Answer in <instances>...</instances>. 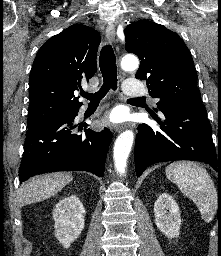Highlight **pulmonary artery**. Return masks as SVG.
Returning a JSON list of instances; mask_svg holds the SVG:
<instances>
[{
	"instance_id": "1",
	"label": "pulmonary artery",
	"mask_w": 221,
	"mask_h": 256,
	"mask_svg": "<svg viewBox=\"0 0 221 256\" xmlns=\"http://www.w3.org/2000/svg\"><path fill=\"white\" fill-rule=\"evenodd\" d=\"M124 92L129 97H140L147 93L144 84L136 79H128L124 82Z\"/></svg>"
}]
</instances>
